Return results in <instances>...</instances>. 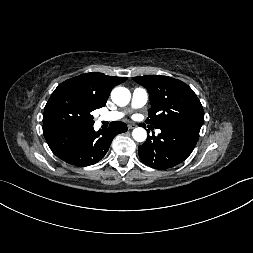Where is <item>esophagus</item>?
<instances>
[{
    "label": "esophagus",
    "instance_id": "1",
    "mask_svg": "<svg viewBox=\"0 0 253 253\" xmlns=\"http://www.w3.org/2000/svg\"><path fill=\"white\" fill-rule=\"evenodd\" d=\"M136 126L134 123L128 124V129H134Z\"/></svg>",
    "mask_w": 253,
    "mask_h": 253
}]
</instances>
